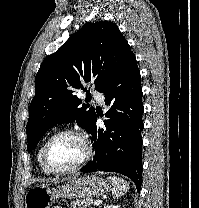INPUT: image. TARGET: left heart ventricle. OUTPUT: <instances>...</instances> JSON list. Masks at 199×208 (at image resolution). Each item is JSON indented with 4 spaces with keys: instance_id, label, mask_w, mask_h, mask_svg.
<instances>
[{
    "instance_id": "obj_1",
    "label": "left heart ventricle",
    "mask_w": 199,
    "mask_h": 208,
    "mask_svg": "<svg viewBox=\"0 0 199 208\" xmlns=\"http://www.w3.org/2000/svg\"><path fill=\"white\" fill-rule=\"evenodd\" d=\"M81 141L73 135H63L55 139L48 151L49 160L56 168H69L84 156Z\"/></svg>"
}]
</instances>
